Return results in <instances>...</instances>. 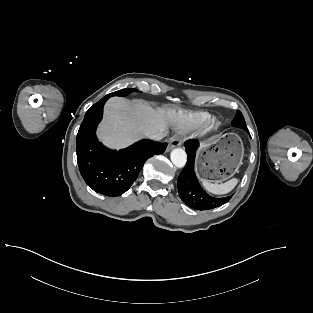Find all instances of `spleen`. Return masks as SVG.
<instances>
[{
    "label": "spleen",
    "instance_id": "1",
    "mask_svg": "<svg viewBox=\"0 0 313 313\" xmlns=\"http://www.w3.org/2000/svg\"><path fill=\"white\" fill-rule=\"evenodd\" d=\"M238 183V179L232 178L229 181L217 184V183H211L208 180H203L202 185L203 187L210 193L216 194V195H222L230 192Z\"/></svg>",
    "mask_w": 313,
    "mask_h": 313
}]
</instances>
